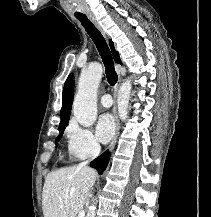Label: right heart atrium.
Listing matches in <instances>:
<instances>
[{"instance_id": "obj_1", "label": "right heart atrium", "mask_w": 211, "mask_h": 217, "mask_svg": "<svg viewBox=\"0 0 211 217\" xmlns=\"http://www.w3.org/2000/svg\"><path fill=\"white\" fill-rule=\"evenodd\" d=\"M69 152L77 159L95 157L100 152V144L92 131L76 122H71L66 130Z\"/></svg>"}]
</instances>
